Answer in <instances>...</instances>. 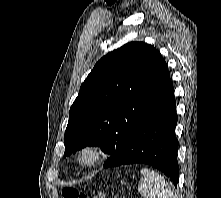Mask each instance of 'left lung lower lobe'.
I'll return each instance as SVG.
<instances>
[{"label":"left lung lower lobe","mask_w":221,"mask_h":198,"mask_svg":"<svg viewBox=\"0 0 221 198\" xmlns=\"http://www.w3.org/2000/svg\"><path fill=\"white\" fill-rule=\"evenodd\" d=\"M173 91V84L169 80L162 97L126 139L121 149L104 163V167L147 164L162 171L177 186V114Z\"/></svg>","instance_id":"obj_1"}]
</instances>
